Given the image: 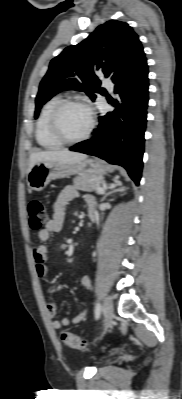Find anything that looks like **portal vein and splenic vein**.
I'll list each match as a JSON object with an SVG mask.
<instances>
[{
    "label": "portal vein and splenic vein",
    "mask_w": 182,
    "mask_h": 399,
    "mask_svg": "<svg viewBox=\"0 0 182 399\" xmlns=\"http://www.w3.org/2000/svg\"><path fill=\"white\" fill-rule=\"evenodd\" d=\"M105 190H106V186H103V187L98 186L97 187V192L100 194H103L105 192Z\"/></svg>",
    "instance_id": "obj_1"
}]
</instances>
